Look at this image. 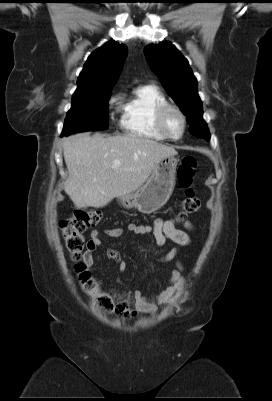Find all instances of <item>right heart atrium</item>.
I'll return each mask as SVG.
<instances>
[{"label": "right heart atrium", "instance_id": "d8ad5b80", "mask_svg": "<svg viewBox=\"0 0 272 401\" xmlns=\"http://www.w3.org/2000/svg\"><path fill=\"white\" fill-rule=\"evenodd\" d=\"M120 97H121L120 93H115V94L111 95L109 98V101H108L109 106H113L116 103H118V101L120 100Z\"/></svg>", "mask_w": 272, "mask_h": 401}]
</instances>
